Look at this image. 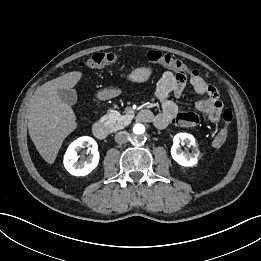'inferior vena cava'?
Wrapping results in <instances>:
<instances>
[{
  "label": "inferior vena cava",
  "instance_id": "602c4592",
  "mask_svg": "<svg viewBox=\"0 0 261 261\" xmlns=\"http://www.w3.org/2000/svg\"><path fill=\"white\" fill-rule=\"evenodd\" d=\"M129 133L126 131H120L115 135V141L118 144H124L128 141Z\"/></svg>",
  "mask_w": 261,
  "mask_h": 261
}]
</instances>
